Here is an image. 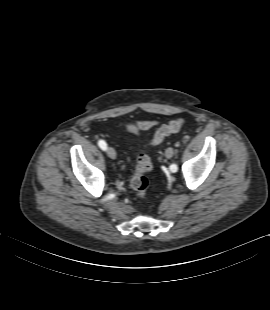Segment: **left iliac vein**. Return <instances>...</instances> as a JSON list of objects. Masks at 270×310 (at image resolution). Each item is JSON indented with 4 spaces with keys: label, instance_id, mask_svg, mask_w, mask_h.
<instances>
[{
    "label": "left iliac vein",
    "instance_id": "4c4485c4",
    "mask_svg": "<svg viewBox=\"0 0 270 310\" xmlns=\"http://www.w3.org/2000/svg\"><path fill=\"white\" fill-rule=\"evenodd\" d=\"M173 154H174L173 148H171V147L167 148V150H166V152H165V156H166L167 158H171V157L173 156Z\"/></svg>",
    "mask_w": 270,
    "mask_h": 310
}]
</instances>
